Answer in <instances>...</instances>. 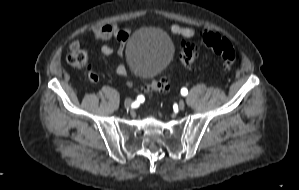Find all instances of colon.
Instances as JSON below:
<instances>
[{
	"instance_id": "colon-1",
	"label": "colon",
	"mask_w": 299,
	"mask_h": 190,
	"mask_svg": "<svg viewBox=\"0 0 299 190\" xmlns=\"http://www.w3.org/2000/svg\"><path fill=\"white\" fill-rule=\"evenodd\" d=\"M203 44L211 49L223 62L226 69L234 66L237 58L236 50L231 42L218 33L205 32L202 36ZM198 54V46L193 42H184L179 51V60L185 67H190L195 62ZM67 63L73 68H85L88 72L93 70L88 62V52L80 46H72L66 57ZM169 80L165 75L158 76L144 86V91L148 94L167 90Z\"/></svg>"
}]
</instances>
